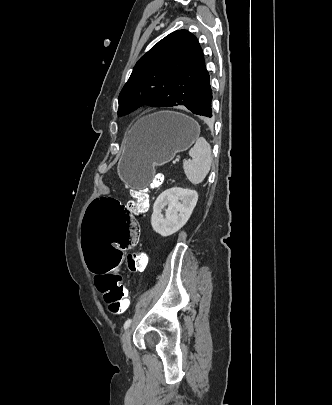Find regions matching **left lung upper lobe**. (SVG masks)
Listing matches in <instances>:
<instances>
[{"label":"left lung upper lobe","mask_w":332,"mask_h":405,"mask_svg":"<svg viewBox=\"0 0 332 405\" xmlns=\"http://www.w3.org/2000/svg\"><path fill=\"white\" fill-rule=\"evenodd\" d=\"M205 70L202 48L192 33L167 35L136 63L118 98L119 115L143 104L188 108Z\"/></svg>","instance_id":"5c2ea615"}]
</instances>
